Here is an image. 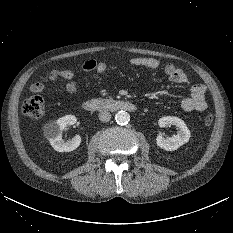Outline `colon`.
<instances>
[{
	"label": "colon",
	"mask_w": 233,
	"mask_h": 233,
	"mask_svg": "<svg viewBox=\"0 0 233 233\" xmlns=\"http://www.w3.org/2000/svg\"><path fill=\"white\" fill-rule=\"evenodd\" d=\"M22 113L29 118H40L44 113V99L39 95L26 99L22 104ZM213 119L212 114H206L203 122L209 126L213 123Z\"/></svg>",
	"instance_id": "1"
}]
</instances>
